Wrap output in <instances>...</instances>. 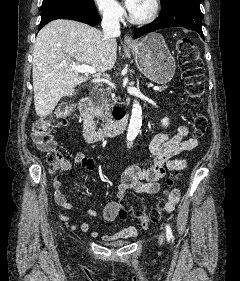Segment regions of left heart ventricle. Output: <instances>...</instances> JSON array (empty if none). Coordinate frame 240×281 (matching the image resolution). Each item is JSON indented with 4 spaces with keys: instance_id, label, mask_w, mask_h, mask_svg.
Here are the masks:
<instances>
[{
    "instance_id": "1",
    "label": "left heart ventricle",
    "mask_w": 240,
    "mask_h": 281,
    "mask_svg": "<svg viewBox=\"0 0 240 281\" xmlns=\"http://www.w3.org/2000/svg\"><path fill=\"white\" fill-rule=\"evenodd\" d=\"M151 10L150 0H138L135 8L131 11L134 17L142 18L149 14Z\"/></svg>"
}]
</instances>
